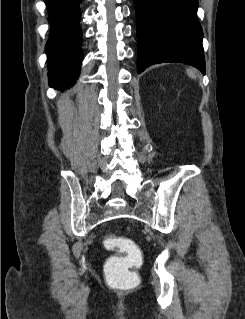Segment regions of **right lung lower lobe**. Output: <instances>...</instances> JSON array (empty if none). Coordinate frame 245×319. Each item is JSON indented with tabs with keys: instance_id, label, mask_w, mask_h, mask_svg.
Listing matches in <instances>:
<instances>
[{
	"instance_id": "right-lung-lower-lobe-1",
	"label": "right lung lower lobe",
	"mask_w": 245,
	"mask_h": 319,
	"mask_svg": "<svg viewBox=\"0 0 245 319\" xmlns=\"http://www.w3.org/2000/svg\"><path fill=\"white\" fill-rule=\"evenodd\" d=\"M81 0H44L51 25L46 44L50 87L65 90L78 76L83 59L79 27Z\"/></svg>"
}]
</instances>
